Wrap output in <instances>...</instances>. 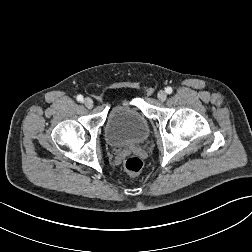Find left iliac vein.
<instances>
[{
	"instance_id": "obj_1",
	"label": "left iliac vein",
	"mask_w": 252,
	"mask_h": 252,
	"mask_svg": "<svg viewBox=\"0 0 252 252\" xmlns=\"http://www.w3.org/2000/svg\"><path fill=\"white\" fill-rule=\"evenodd\" d=\"M157 97H158V99H159L160 101L163 102V101L166 100L167 94H166L165 91L161 90V91L158 92Z\"/></svg>"
}]
</instances>
